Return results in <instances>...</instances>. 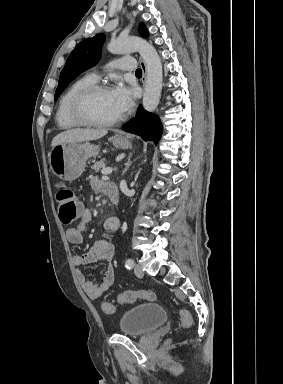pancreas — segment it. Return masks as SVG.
<instances>
[{
	"label": "pancreas",
	"instance_id": "pancreas-1",
	"mask_svg": "<svg viewBox=\"0 0 283 384\" xmlns=\"http://www.w3.org/2000/svg\"><path fill=\"white\" fill-rule=\"evenodd\" d=\"M100 168H105V160H100V162H95V164L91 166V170H95V172H98Z\"/></svg>",
	"mask_w": 283,
	"mask_h": 384
}]
</instances>
